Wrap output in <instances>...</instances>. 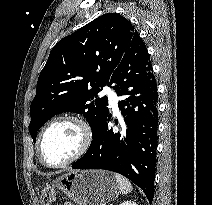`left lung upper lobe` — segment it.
<instances>
[{
    "label": "left lung upper lobe",
    "instance_id": "5c2ea615",
    "mask_svg": "<svg viewBox=\"0 0 212 205\" xmlns=\"http://www.w3.org/2000/svg\"><path fill=\"white\" fill-rule=\"evenodd\" d=\"M137 33L125 17L108 13L53 47L30 106L33 141L41 126L62 112L82 114L94 130L108 110L107 97L97 94L108 84Z\"/></svg>",
    "mask_w": 212,
    "mask_h": 205
}]
</instances>
